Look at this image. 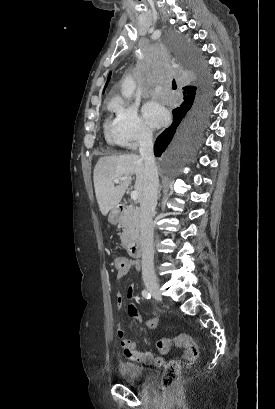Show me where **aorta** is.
Returning a JSON list of instances; mask_svg holds the SVG:
<instances>
[{
    "label": "aorta",
    "instance_id": "1",
    "mask_svg": "<svg viewBox=\"0 0 275 409\" xmlns=\"http://www.w3.org/2000/svg\"><path fill=\"white\" fill-rule=\"evenodd\" d=\"M135 90V82L130 76H126L125 80L122 82L121 94L124 98H131Z\"/></svg>",
    "mask_w": 275,
    "mask_h": 409
}]
</instances>
